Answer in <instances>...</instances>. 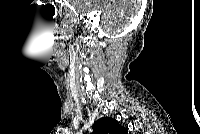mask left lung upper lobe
<instances>
[{
    "label": "left lung upper lobe",
    "instance_id": "left-lung-upper-lobe-1",
    "mask_svg": "<svg viewBox=\"0 0 200 134\" xmlns=\"http://www.w3.org/2000/svg\"><path fill=\"white\" fill-rule=\"evenodd\" d=\"M93 134H128V130L115 119L100 118L94 124Z\"/></svg>",
    "mask_w": 200,
    "mask_h": 134
}]
</instances>
